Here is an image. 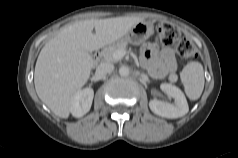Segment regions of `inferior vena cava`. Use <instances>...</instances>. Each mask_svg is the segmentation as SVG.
I'll list each match as a JSON object with an SVG mask.
<instances>
[{"label":"inferior vena cava","instance_id":"inferior-vena-cava-1","mask_svg":"<svg viewBox=\"0 0 238 158\" xmlns=\"http://www.w3.org/2000/svg\"><path fill=\"white\" fill-rule=\"evenodd\" d=\"M114 70V65L112 63L103 62L100 63L96 69V73L99 75H106Z\"/></svg>","mask_w":238,"mask_h":158}]
</instances>
